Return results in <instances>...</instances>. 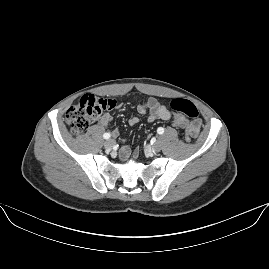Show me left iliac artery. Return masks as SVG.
Instances as JSON below:
<instances>
[{"label":"left iliac artery","instance_id":"obj_1","mask_svg":"<svg viewBox=\"0 0 269 269\" xmlns=\"http://www.w3.org/2000/svg\"><path fill=\"white\" fill-rule=\"evenodd\" d=\"M157 132H158L159 134H163V133H164V128L159 127V128L157 129Z\"/></svg>","mask_w":269,"mask_h":269}]
</instances>
